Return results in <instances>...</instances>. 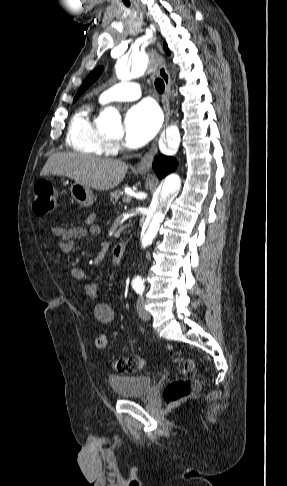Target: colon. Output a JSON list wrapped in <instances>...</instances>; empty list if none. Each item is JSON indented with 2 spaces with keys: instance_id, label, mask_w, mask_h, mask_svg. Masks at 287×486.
<instances>
[{
  "instance_id": "colon-1",
  "label": "colon",
  "mask_w": 287,
  "mask_h": 486,
  "mask_svg": "<svg viewBox=\"0 0 287 486\" xmlns=\"http://www.w3.org/2000/svg\"><path fill=\"white\" fill-rule=\"evenodd\" d=\"M57 193L49 179H40L34 186V212L39 216L50 213L56 206ZM95 347L98 350L108 349V340L104 333L98 332L94 339ZM145 361L140 356H131L116 359L113 367L120 373H133L141 370ZM195 369L192 360H185L184 371L190 373ZM198 389V382L189 378H178L171 381L164 390V399L168 405H174L193 395Z\"/></svg>"
}]
</instances>
